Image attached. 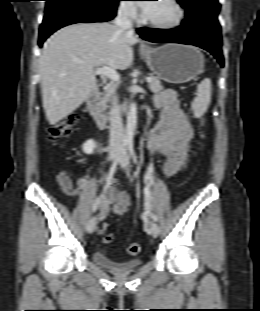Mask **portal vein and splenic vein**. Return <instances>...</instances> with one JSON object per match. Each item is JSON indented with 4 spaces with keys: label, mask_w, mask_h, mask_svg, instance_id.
Returning a JSON list of instances; mask_svg holds the SVG:
<instances>
[{
    "label": "portal vein and splenic vein",
    "mask_w": 260,
    "mask_h": 311,
    "mask_svg": "<svg viewBox=\"0 0 260 311\" xmlns=\"http://www.w3.org/2000/svg\"><path fill=\"white\" fill-rule=\"evenodd\" d=\"M77 63H84V61L79 60V59H75L74 60ZM95 75H105L107 77H109L113 82H120V75L118 72H116L114 69L107 67V66H103L101 68L96 69V71L94 72ZM146 81L148 83H150L152 81L151 77H147Z\"/></svg>",
    "instance_id": "18ae733b"
}]
</instances>
